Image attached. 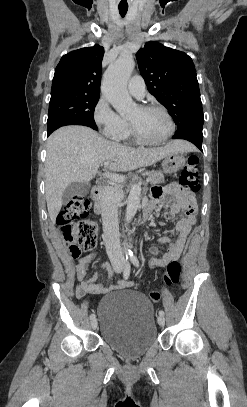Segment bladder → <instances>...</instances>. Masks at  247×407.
<instances>
[{"mask_svg": "<svg viewBox=\"0 0 247 407\" xmlns=\"http://www.w3.org/2000/svg\"><path fill=\"white\" fill-rule=\"evenodd\" d=\"M97 323L105 343L129 360H137L158 339L153 305L135 291L122 290L102 299Z\"/></svg>", "mask_w": 247, "mask_h": 407, "instance_id": "bladder-1", "label": "bladder"}]
</instances>
